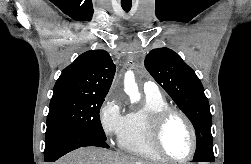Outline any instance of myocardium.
Returning <instances> with one entry per match:
<instances>
[{
  "label": "myocardium",
  "instance_id": "f54148a6",
  "mask_svg": "<svg viewBox=\"0 0 251 164\" xmlns=\"http://www.w3.org/2000/svg\"><path fill=\"white\" fill-rule=\"evenodd\" d=\"M173 116L180 117L187 125L191 134V151L187 156L183 158H174L170 156L164 149L163 142H162L165 127ZM150 138H151L152 146L155 149V151L164 160L169 161V162H175V163L186 162L193 158L197 150V134H196L195 127L193 123L191 122V120L189 119V117L185 113H183L182 111L176 108L168 107L153 115L151 119V125H150Z\"/></svg>",
  "mask_w": 251,
  "mask_h": 164
}]
</instances>
